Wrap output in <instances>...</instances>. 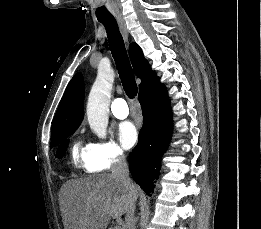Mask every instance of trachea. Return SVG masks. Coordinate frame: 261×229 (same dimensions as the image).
<instances>
[{"mask_svg": "<svg viewBox=\"0 0 261 229\" xmlns=\"http://www.w3.org/2000/svg\"><path fill=\"white\" fill-rule=\"evenodd\" d=\"M98 21L106 29L109 47L120 75L122 87L127 96L133 99L137 95L138 88L117 22L113 16L98 17Z\"/></svg>", "mask_w": 261, "mask_h": 229, "instance_id": "obj_1", "label": "trachea"}]
</instances>
